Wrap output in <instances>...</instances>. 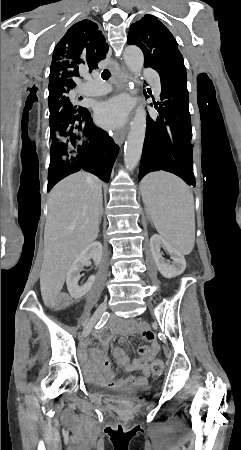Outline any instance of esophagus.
<instances>
[{"label": "esophagus", "instance_id": "esophagus-1", "mask_svg": "<svg viewBox=\"0 0 241 450\" xmlns=\"http://www.w3.org/2000/svg\"><path fill=\"white\" fill-rule=\"evenodd\" d=\"M113 73L117 76V78L120 82V87L122 89H126L128 87V83L130 80L127 70H125L124 68L115 70L113 68ZM125 137H126V130L122 129V128L119 130H116L113 134V139H114L115 143H117V145H122Z\"/></svg>", "mask_w": 241, "mask_h": 450}]
</instances>
